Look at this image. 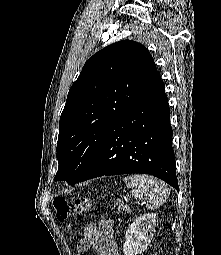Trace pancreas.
Wrapping results in <instances>:
<instances>
[{"instance_id": "obj_1", "label": "pancreas", "mask_w": 221, "mask_h": 255, "mask_svg": "<svg viewBox=\"0 0 221 255\" xmlns=\"http://www.w3.org/2000/svg\"><path fill=\"white\" fill-rule=\"evenodd\" d=\"M115 205H119L118 210L121 209L125 214L130 213V208L128 207V205L123 206V204L121 202H117V203H115Z\"/></svg>"}]
</instances>
